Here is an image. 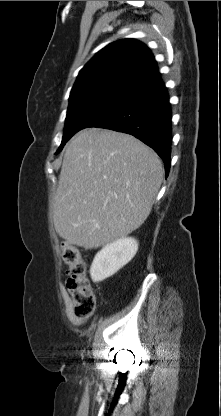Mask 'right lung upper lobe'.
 Wrapping results in <instances>:
<instances>
[{"label":"right lung upper lobe","mask_w":221,"mask_h":416,"mask_svg":"<svg viewBox=\"0 0 221 416\" xmlns=\"http://www.w3.org/2000/svg\"><path fill=\"white\" fill-rule=\"evenodd\" d=\"M153 55L143 43L121 39L100 50L79 72L70 100L96 92H133L160 83Z\"/></svg>","instance_id":"right-lung-upper-lobe-1"}]
</instances>
